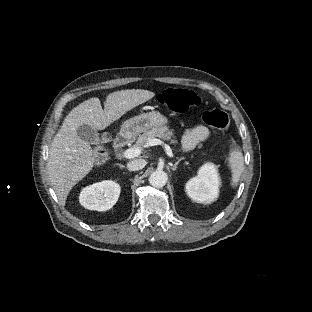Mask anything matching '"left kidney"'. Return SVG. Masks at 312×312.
Instances as JSON below:
<instances>
[{"instance_id":"1","label":"left kidney","mask_w":312,"mask_h":312,"mask_svg":"<svg viewBox=\"0 0 312 312\" xmlns=\"http://www.w3.org/2000/svg\"><path fill=\"white\" fill-rule=\"evenodd\" d=\"M218 177L215 166L204 165L196 178L191 179L186 185V192L195 202L207 204L218 195Z\"/></svg>"}]
</instances>
